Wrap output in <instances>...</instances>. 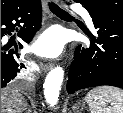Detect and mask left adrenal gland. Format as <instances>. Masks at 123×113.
<instances>
[{"label":"left adrenal gland","instance_id":"left-adrenal-gland-1","mask_svg":"<svg viewBox=\"0 0 123 113\" xmlns=\"http://www.w3.org/2000/svg\"><path fill=\"white\" fill-rule=\"evenodd\" d=\"M82 107L85 108L84 102L82 103ZM83 108H82V109H83ZM74 109H75V108H74Z\"/></svg>","mask_w":123,"mask_h":113}]
</instances>
